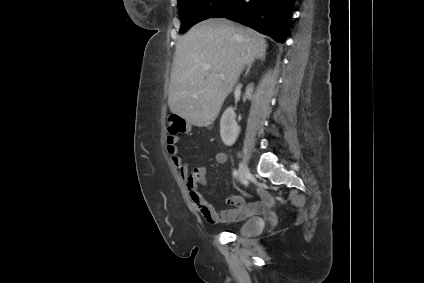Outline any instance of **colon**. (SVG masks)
<instances>
[{"mask_svg":"<svg viewBox=\"0 0 424 283\" xmlns=\"http://www.w3.org/2000/svg\"><path fill=\"white\" fill-rule=\"evenodd\" d=\"M167 129L171 135H177L186 131L187 124L181 116L177 114H171L168 116Z\"/></svg>","mask_w":424,"mask_h":283,"instance_id":"obj_1","label":"colon"}]
</instances>
